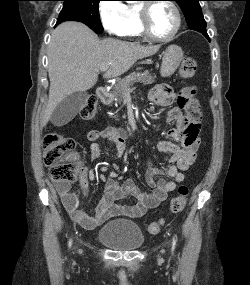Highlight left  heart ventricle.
<instances>
[{
    "instance_id": "left-heart-ventricle-1",
    "label": "left heart ventricle",
    "mask_w": 250,
    "mask_h": 285,
    "mask_svg": "<svg viewBox=\"0 0 250 285\" xmlns=\"http://www.w3.org/2000/svg\"><path fill=\"white\" fill-rule=\"evenodd\" d=\"M176 25V16L170 6L165 3H156L150 9V27L159 37L168 36Z\"/></svg>"
}]
</instances>
